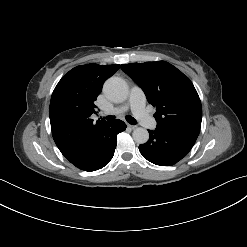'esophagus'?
<instances>
[{
	"label": "esophagus",
	"instance_id": "esophagus-1",
	"mask_svg": "<svg viewBox=\"0 0 247 247\" xmlns=\"http://www.w3.org/2000/svg\"><path fill=\"white\" fill-rule=\"evenodd\" d=\"M127 126H128V128H130V129H135L137 126L136 125H131V124H127Z\"/></svg>",
	"mask_w": 247,
	"mask_h": 247
}]
</instances>
